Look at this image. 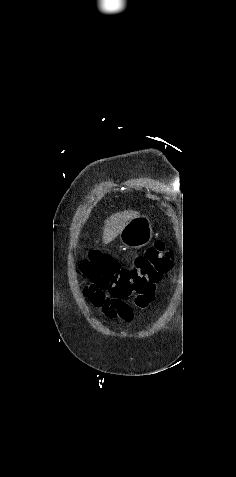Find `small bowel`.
<instances>
[{"label": "small bowel", "mask_w": 236, "mask_h": 477, "mask_svg": "<svg viewBox=\"0 0 236 477\" xmlns=\"http://www.w3.org/2000/svg\"><path fill=\"white\" fill-rule=\"evenodd\" d=\"M154 296V291L145 295L143 299L140 301L139 304H137L138 307L140 308H145L148 306V304L151 302ZM103 310L106 316L110 318H116V317H121L122 319L126 321H130L132 319V311L129 310L127 313L122 314L118 310L114 309L111 305L105 304L102 307H98Z\"/></svg>", "instance_id": "1"}]
</instances>
